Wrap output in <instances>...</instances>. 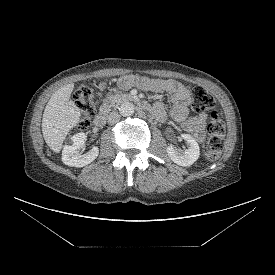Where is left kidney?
Segmentation results:
<instances>
[{"label":"left kidney","instance_id":"obj_1","mask_svg":"<svg viewBox=\"0 0 275 275\" xmlns=\"http://www.w3.org/2000/svg\"><path fill=\"white\" fill-rule=\"evenodd\" d=\"M181 137L187 142V149H176L174 146L169 145L166 151L170 159L177 165L190 166L199 158V145L189 134H182Z\"/></svg>","mask_w":275,"mask_h":275}]
</instances>
